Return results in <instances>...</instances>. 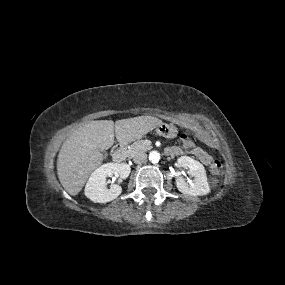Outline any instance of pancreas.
Instances as JSON below:
<instances>
[{"instance_id":"obj_1","label":"pancreas","mask_w":285,"mask_h":285,"mask_svg":"<svg viewBox=\"0 0 285 285\" xmlns=\"http://www.w3.org/2000/svg\"><path fill=\"white\" fill-rule=\"evenodd\" d=\"M150 148L151 146L146 144L145 140H139L130 145L128 154L130 157H134L137 153L145 152Z\"/></svg>"}]
</instances>
